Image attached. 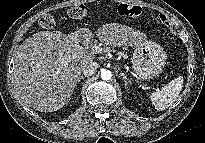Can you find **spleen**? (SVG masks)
Masks as SVG:
<instances>
[{"mask_svg":"<svg viewBox=\"0 0 205 143\" xmlns=\"http://www.w3.org/2000/svg\"><path fill=\"white\" fill-rule=\"evenodd\" d=\"M183 77L180 76L168 84L163 86L160 90L153 92L150 95V99L159 111L167 109L171 106L179 96L180 91L182 90Z\"/></svg>","mask_w":205,"mask_h":143,"instance_id":"spleen-1","label":"spleen"}]
</instances>
